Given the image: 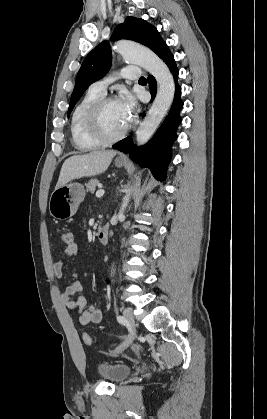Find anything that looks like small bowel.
Listing matches in <instances>:
<instances>
[{
  "label": "small bowel",
  "mask_w": 267,
  "mask_h": 419,
  "mask_svg": "<svg viewBox=\"0 0 267 419\" xmlns=\"http://www.w3.org/2000/svg\"><path fill=\"white\" fill-rule=\"evenodd\" d=\"M78 253V245L75 243L72 247H66L54 266V274L57 278H61L67 271V262L73 259ZM67 284L64 293L62 294V301L69 310L78 312L79 322L83 325L89 323H99L102 320V311L92 304H89L86 298L81 294L82 285L79 280L75 278Z\"/></svg>",
  "instance_id": "c3829d8e"
}]
</instances>
